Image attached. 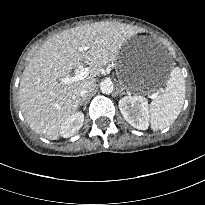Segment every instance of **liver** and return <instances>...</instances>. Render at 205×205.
I'll use <instances>...</instances> for the list:
<instances>
[{"label": "liver", "instance_id": "liver-1", "mask_svg": "<svg viewBox=\"0 0 205 205\" xmlns=\"http://www.w3.org/2000/svg\"><path fill=\"white\" fill-rule=\"evenodd\" d=\"M135 32L123 23L101 21L64 30L47 40L25 67L20 81V108L29 127L57 140L61 124L77 112L81 85L94 80L102 66L116 61ZM80 47L87 50L79 51ZM82 61L90 66L89 77L71 84L59 82Z\"/></svg>", "mask_w": 205, "mask_h": 205}]
</instances>
